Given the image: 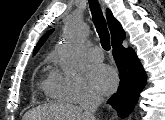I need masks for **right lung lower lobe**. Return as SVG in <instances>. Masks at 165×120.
Instances as JSON below:
<instances>
[{"label":"right lung lower lobe","mask_w":165,"mask_h":120,"mask_svg":"<svg viewBox=\"0 0 165 120\" xmlns=\"http://www.w3.org/2000/svg\"><path fill=\"white\" fill-rule=\"evenodd\" d=\"M123 40L112 44V53L119 70L120 83L117 93L108 100V103L118 111L121 117L129 115L133 111L146 83V74L141 63L131 48H124Z\"/></svg>","instance_id":"right-lung-lower-lobe-1"}]
</instances>
